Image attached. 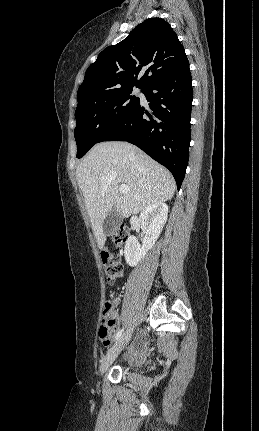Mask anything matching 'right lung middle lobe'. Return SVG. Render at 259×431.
<instances>
[{
  "label": "right lung middle lobe",
  "mask_w": 259,
  "mask_h": 431,
  "mask_svg": "<svg viewBox=\"0 0 259 431\" xmlns=\"http://www.w3.org/2000/svg\"><path fill=\"white\" fill-rule=\"evenodd\" d=\"M132 90L133 87L121 88L93 95L78 104L75 111L77 126L74 130L77 158L83 157L139 104V98L131 95Z\"/></svg>",
  "instance_id": "dd1d6c3e"
}]
</instances>
